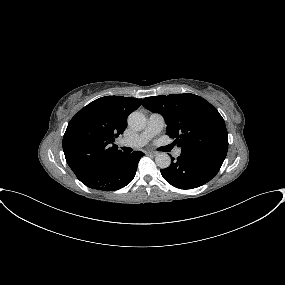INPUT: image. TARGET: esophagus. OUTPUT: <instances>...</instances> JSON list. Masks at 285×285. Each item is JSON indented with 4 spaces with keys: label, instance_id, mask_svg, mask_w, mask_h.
<instances>
[{
    "label": "esophagus",
    "instance_id": "obj_1",
    "mask_svg": "<svg viewBox=\"0 0 285 285\" xmlns=\"http://www.w3.org/2000/svg\"><path fill=\"white\" fill-rule=\"evenodd\" d=\"M147 154L151 155V156H156L157 152H155V151H148Z\"/></svg>",
    "mask_w": 285,
    "mask_h": 285
}]
</instances>
